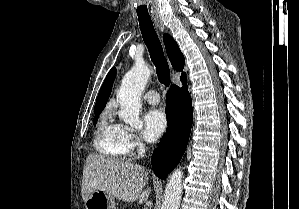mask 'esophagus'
<instances>
[{"mask_svg": "<svg viewBox=\"0 0 299 209\" xmlns=\"http://www.w3.org/2000/svg\"><path fill=\"white\" fill-rule=\"evenodd\" d=\"M153 20H154V23H155L156 27H157L161 32H164L165 27H164V24H163L162 20H161L158 16L153 17Z\"/></svg>", "mask_w": 299, "mask_h": 209, "instance_id": "1", "label": "esophagus"}]
</instances>
